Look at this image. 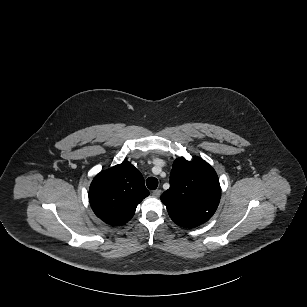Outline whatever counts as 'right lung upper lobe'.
Returning <instances> with one entry per match:
<instances>
[{
	"label": "right lung upper lobe",
	"instance_id": "1",
	"mask_svg": "<svg viewBox=\"0 0 307 307\" xmlns=\"http://www.w3.org/2000/svg\"><path fill=\"white\" fill-rule=\"evenodd\" d=\"M148 195L142 174L130 162L100 172L89 189L93 211L113 226L129 221L137 205Z\"/></svg>",
	"mask_w": 307,
	"mask_h": 307
}]
</instances>
